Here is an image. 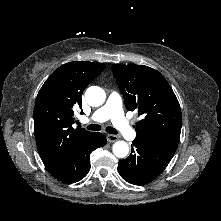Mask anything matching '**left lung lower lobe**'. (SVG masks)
<instances>
[{"mask_svg":"<svg viewBox=\"0 0 221 221\" xmlns=\"http://www.w3.org/2000/svg\"><path fill=\"white\" fill-rule=\"evenodd\" d=\"M131 154L119 161L118 172L130 184L144 185L157 178L167 167L174 153L135 139Z\"/></svg>","mask_w":221,"mask_h":221,"instance_id":"obj_1","label":"left lung lower lobe"}]
</instances>
